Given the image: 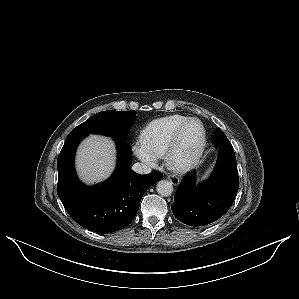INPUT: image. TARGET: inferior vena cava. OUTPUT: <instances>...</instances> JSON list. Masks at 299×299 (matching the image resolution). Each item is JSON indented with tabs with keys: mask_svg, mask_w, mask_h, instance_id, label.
Segmentation results:
<instances>
[{
	"mask_svg": "<svg viewBox=\"0 0 299 299\" xmlns=\"http://www.w3.org/2000/svg\"><path fill=\"white\" fill-rule=\"evenodd\" d=\"M133 171H135L138 174H148L151 172L150 166L144 164V163H135L132 166Z\"/></svg>",
	"mask_w": 299,
	"mask_h": 299,
	"instance_id": "602c4592",
	"label": "inferior vena cava"
}]
</instances>
